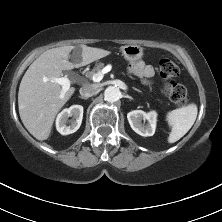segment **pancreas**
<instances>
[{
    "mask_svg": "<svg viewBox=\"0 0 222 222\" xmlns=\"http://www.w3.org/2000/svg\"><path fill=\"white\" fill-rule=\"evenodd\" d=\"M103 66H104L103 63H98V64L92 69V71H90V72H88V73L86 74V76H87L88 78H92V76H93L95 73H98V72H100V71L102 70Z\"/></svg>",
    "mask_w": 222,
    "mask_h": 222,
    "instance_id": "pancreas-1",
    "label": "pancreas"
}]
</instances>
